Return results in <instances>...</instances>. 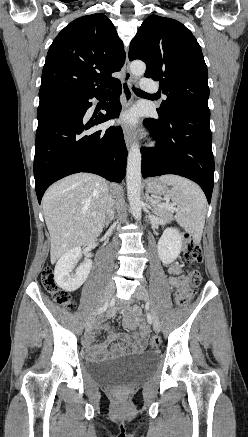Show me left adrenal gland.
<instances>
[{"label": "left adrenal gland", "mask_w": 248, "mask_h": 437, "mask_svg": "<svg viewBox=\"0 0 248 437\" xmlns=\"http://www.w3.org/2000/svg\"><path fill=\"white\" fill-rule=\"evenodd\" d=\"M146 202L148 203L149 206H153V205L150 203L148 193L146 194Z\"/></svg>", "instance_id": "a2214340"}]
</instances>
